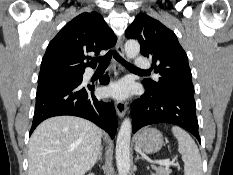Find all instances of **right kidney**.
Here are the masks:
<instances>
[{
    "instance_id": "obj_1",
    "label": "right kidney",
    "mask_w": 233,
    "mask_h": 175,
    "mask_svg": "<svg viewBox=\"0 0 233 175\" xmlns=\"http://www.w3.org/2000/svg\"><path fill=\"white\" fill-rule=\"evenodd\" d=\"M88 175H94L93 173H90V174H88Z\"/></svg>"
}]
</instances>
